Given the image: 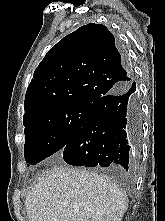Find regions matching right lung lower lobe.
Segmentation results:
<instances>
[{
  "label": "right lung lower lobe",
  "mask_w": 165,
  "mask_h": 221,
  "mask_svg": "<svg viewBox=\"0 0 165 221\" xmlns=\"http://www.w3.org/2000/svg\"><path fill=\"white\" fill-rule=\"evenodd\" d=\"M141 139V109L133 80L92 104L86 123L62 150L74 166L120 165L133 170L132 153Z\"/></svg>",
  "instance_id": "right-lung-lower-lobe-1"
}]
</instances>
